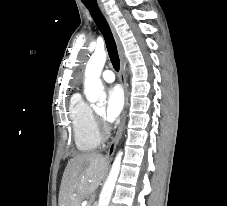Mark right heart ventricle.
Listing matches in <instances>:
<instances>
[{"label": "right heart ventricle", "instance_id": "obj_1", "mask_svg": "<svg viewBox=\"0 0 227 206\" xmlns=\"http://www.w3.org/2000/svg\"><path fill=\"white\" fill-rule=\"evenodd\" d=\"M69 117L77 149L81 152L94 150L100 143L94 112L78 93L70 99Z\"/></svg>", "mask_w": 227, "mask_h": 206}]
</instances>
